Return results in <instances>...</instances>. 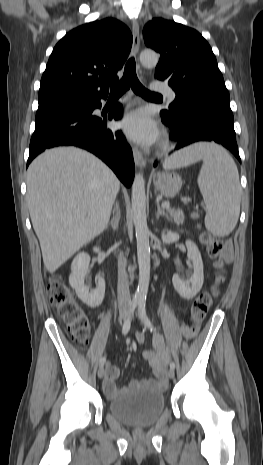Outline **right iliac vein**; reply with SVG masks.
<instances>
[{"label": "right iliac vein", "mask_w": 263, "mask_h": 465, "mask_svg": "<svg viewBox=\"0 0 263 465\" xmlns=\"http://www.w3.org/2000/svg\"><path fill=\"white\" fill-rule=\"evenodd\" d=\"M127 316H128V310L123 309V310L120 311V320L121 321L126 320ZM104 374H105V369H104L103 366H101L99 368V370H98V377L101 379V378H103Z\"/></svg>", "instance_id": "right-iliac-vein-1"}]
</instances>
